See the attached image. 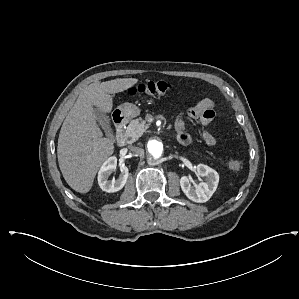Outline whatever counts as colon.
Listing matches in <instances>:
<instances>
[{
	"mask_svg": "<svg viewBox=\"0 0 299 299\" xmlns=\"http://www.w3.org/2000/svg\"><path fill=\"white\" fill-rule=\"evenodd\" d=\"M171 90V85L165 81H145L130 88L131 95H147L151 97H158L166 94ZM228 166L231 170H239L242 162L239 159H230Z\"/></svg>",
	"mask_w": 299,
	"mask_h": 299,
	"instance_id": "colon-1",
	"label": "colon"
}]
</instances>
